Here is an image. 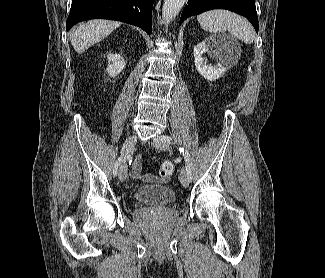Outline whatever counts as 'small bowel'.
Segmentation results:
<instances>
[{"label":"small bowel","mask_w":325,"mask_h":278,"mask_svg":"<svg viewBox=\"0 0 325 278\" xmlns=\"http://www.w3.org/2000/svg\"><path fill=\"white\" fill-rule=\"evenodd\" d=\"M131 173L134 178H142L141 176V164H140V159L137 157L131 167ZM145 178V177H144Z\"/></svg>","instance_id":"c3829d8e"}]
</instances>
